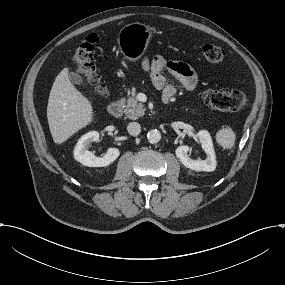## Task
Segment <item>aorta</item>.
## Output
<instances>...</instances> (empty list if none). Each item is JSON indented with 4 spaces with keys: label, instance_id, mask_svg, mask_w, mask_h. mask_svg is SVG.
Returning a JSON list of instances; mask_svg holds the SVG:
<instances>
[{
    "label": "aorta",
    "instance_id": "obj_1",
    "mask_svg": "<svg viewBox=\"0 0 285 285\" xmlns=\"http://www.w3.org/2000/svg\"><path fill=\"white\" fill-rule=\"evenodd\" d=\"M147 139L150 143L156 144L161 140V133L156 129H152L147 134Z\"/></svg>",
    "mask_w": 285,
    "mask_h": 285
}]
</instances>
